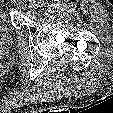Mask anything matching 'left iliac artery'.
<instances>
[{
	"mask_svg": "<svg viewBox=\"0 0 113 113\" xmlns=\"http://www.w3.org/2000/svg\"><path fill=\"white\" fill-rule=\"evenodd\" d=\"M39 1H41V0H37V1H36V5H37V6H39V4H40Z\"/></svg>",
	"mask_w": 113,
	"mask_h": 113,
	"instance_id": "44dca946",
	"label": "left iliac artery"
}]
</instances>
